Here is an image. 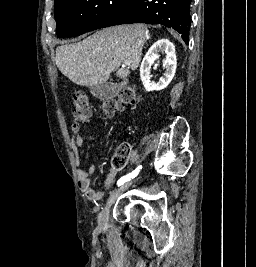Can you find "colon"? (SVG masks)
Segmentation results:
<instances>
[{"mask_svg":"<svg viewBox=\"0 0 256 267\" xmlns=\"http://www.w3.org/2000/svg\"><path fill=\"white\" fill-rule=\"evenodd\" d=\"M139 94L133 87H125L117 97L108 98L101 101L100 112L103 116L109 117L122 111L126 106L136 103ZM73 115L76 120L85 122L89 119L92 106L89 99L80 93L73 96ZM130 156V147L127 144L120 145L113 157V164L116 168H123Z\"/></svg>","mask_w":256,"mask_h":267,"instance_id":"5ec220e1","label":"colon"}]
</instances>
